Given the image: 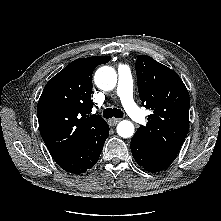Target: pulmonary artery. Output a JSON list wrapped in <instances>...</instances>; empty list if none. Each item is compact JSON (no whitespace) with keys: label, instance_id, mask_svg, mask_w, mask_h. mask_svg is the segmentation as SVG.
Masks as SVG:
<instances>
[{"label":"pulmonary artery","instance_id":"pulmonary-artery-1","mask_svg":"<svg viewBox=\"0 0 221 221\" xmlns=\"http://www.w3.org/2000/svg\"><path fill=\"white\" fill-rule=\"evenodd\" d=\"M118 74L117 94L124 110L135 122H145V113L137 106L133 98V80L129 67L127 65H120L118 67Z\"/></svg>","mask_w":221,"mask_h":221}]
</instances>
